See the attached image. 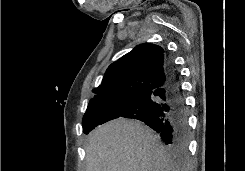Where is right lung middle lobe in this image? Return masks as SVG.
Here are the masks:
<instances>
[{"instance_id": "1", "label": "right lung middle lobe", "mask_w": 245, "mask_h": 171, "mask_svg": "<svg viewBox=\"0 0 245 171\" xmlns=\"http://www.w3.org/2000/svg\"><path fill=\"white\" fill-rule=\"evenodd\" d=\"M130 99L131 98L127 96H116L96 102H89L82 122L84 133H89L104 119L116 113L121 108L123 103L129 101Z\"/></svg>"}]
</instances>
